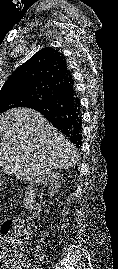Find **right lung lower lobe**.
I'll return each instance as SVG.
<instances>
[{
  "label": "right lung lower lobe",
  "instance_id": "98d812e1",
  "mask_svg": "<svg viewBox=\"0 0 118 269\" xmlns=\"http://www.w3.org/2000/svg\"><path fill=\"white\" fill-rule=\"evenodd\" d=\"M29 108L40 112L77 147L82 143V114L74 84Z\"/></svg>",
  "mask_w": 118,
  "mask_h": 269
}]
</instances>
